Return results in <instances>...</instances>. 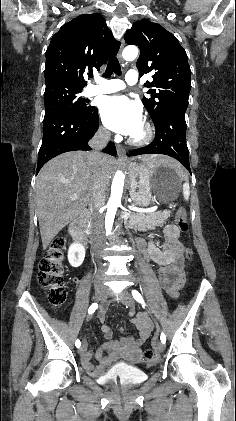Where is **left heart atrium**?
<instances>
[{"label": "left heart atrium", "mask_w": 236, "mask_h": 421, "mask_svg": "<svg viewBox=\"0 0 236 421\" xmlns=\"http://www.w3.org/2000/svg\"><path fill=\"white\" fill-rule=\"evenodd\" d=\"M100 111L106 125L117 133L134 135L143 126L140 108L125 96L115 95L104 98Z\"/></svg>", "instance_id": "39dd6f15"}]
</instances>
